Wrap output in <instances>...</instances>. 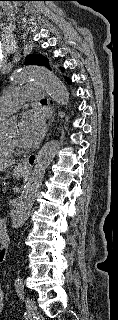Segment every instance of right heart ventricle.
Segmentation results:
<instances>
[{"label": "right heart ventricle", "mask_w": 118, "mask_h": 320, "mask_svg": "<svg viewBox=\"0 0 118 320\" xmlns=\"http://www.w3.org/2000/svg\"><path fill=\"white\" fill-rule=\"evenodd\" d=\"M3 114L0 113V121L3 118ZM13 153V147L6 141L2 132H0V157L9 156Z\"/></svg>", "instance_id": "obj_1"}]
</instances>
